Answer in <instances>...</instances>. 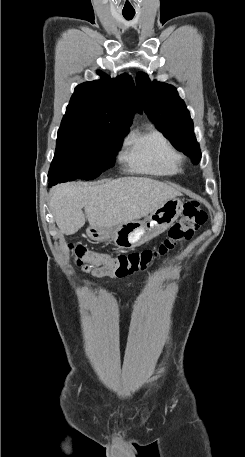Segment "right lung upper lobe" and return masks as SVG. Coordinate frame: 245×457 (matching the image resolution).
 Listing matches in <instances>:
<instances>
[{"label":"right lung upper lobe","instance_id":"1","mask_svg":"<svg viewBox=\"0 0 245 457\" xmlns=\"http://www.w3.org/2000/svg\"><path fill=\"white\" fill-rule=\"evenodd\" d=\"M98 74L99 80L75 88L63 118L131 124L135 112L142 113L132 78Z\"/></svg>","mask_w":245,"mask_h":457}]
</instances>
